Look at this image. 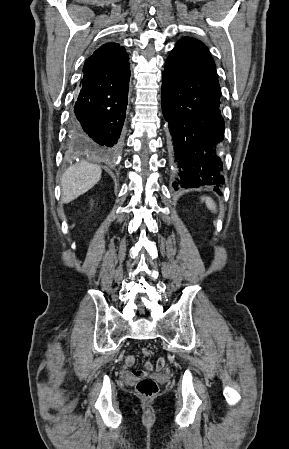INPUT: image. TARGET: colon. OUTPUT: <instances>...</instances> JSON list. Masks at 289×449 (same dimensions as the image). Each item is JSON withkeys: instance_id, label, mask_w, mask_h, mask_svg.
Masks as SVG:
<instances>
[{"instance_id": "1", "label": "colon", "mask_w": 289, "mask_h": 449, "mask_svg": "<svg viewBox=\"0 0 289 449\" xmlns=\"http://www.w3.org/2000/svg\"><path fill=\"white\" fill-rule=\"evenodd\" d=\"M143 354L146 356H151L153 355V351L149 348H143ZM138 378L139 380L136 384V390L140 395L144 397H151L157 393L158 384L153 378L148 377L147 374L143 372L138 373Z\"/></svg>"}]
</instances>
